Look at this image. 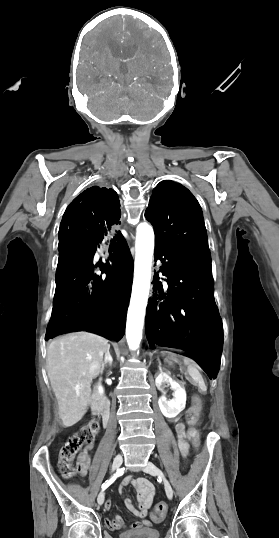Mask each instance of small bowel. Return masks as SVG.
<instances>
[{
	"mask_svg": "<svg viewBox=\"0 0 279 538\" xmlns=\"http://www.w3.org/2000/svg\"><path fill=\"white\" fill-rule=\"evenodd\" d=\"M175 432L178 439L179 449L182 455L185 457L187 456L189 451V444L186 442V430L184 425L177 424L175 427ZM91 449L92 445H87L79 456L78 465L80 467V473L82 475H84L87 471L90 462ZM128 485H132L135 488L137 500L139 503V507L138 509H136L133 506L131 499H125V506L127 507V509L136 518H138L130 525V529L133 531L143 530L147 527H150L151 524L150 521L145 519V517L147 515L148 509L153 503V498L155 494L154 486L149 480L145 478L134 479L132 475H127L122 479L118 487V492L121 494L123 488ZM104 507L105 510H109L112 507V501L110 499L106 500ZM105 524L111 530H119L126 527L123 518L119 515L114 516L112 519L106 518Z\"/></svg>",
	"mask_w": 279,
	"mask_h": 538,
	"instance_id": "obj_1",
	"label": "small bowel"
}]
</instances>
